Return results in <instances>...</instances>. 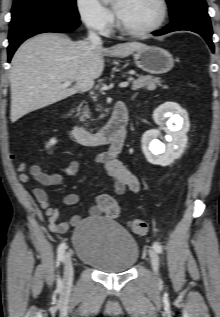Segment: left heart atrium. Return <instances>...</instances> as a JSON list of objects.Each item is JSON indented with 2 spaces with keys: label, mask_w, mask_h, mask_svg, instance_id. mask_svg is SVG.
Instances as JSON below:
<instances>
[{
  "label": "left heart atrium",
  "mask_w": 220,
  "mask_h": 317,
  "mask_svg": "<svg viewBox=\"0 0 220 317\" xmlns=\"http://www.w3.org/2000/svg\"><path fill=\"white\" fill-rule=\"evenodd\" d=\"M121 1L122 0H117V2L115 3L113 9L114 12L116 13V15H119L120 11H121Z\"/></svg>",
  "instance_id": "39dd6f15"
}]
</instances>
